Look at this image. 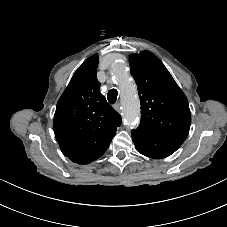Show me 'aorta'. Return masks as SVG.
<instances>
[{
    "label": "aorta",
    "mask_w": 227,
    "mask_h": 227,
    "mask_svg": "<svg viewBox=\"0 0 227 227\" xmlns=\"http://www.w3.org/2000/svg\"><path fill=\"white\" fill-rule=\"evenodd\" d=\"M111 74L122 88L124 120L128 126H135L138 124L140 108L135 98V86L130 79L126 64L122 61L113 62Z\"/></svg>",
    "instance_id": "1"
}]
</instances>
